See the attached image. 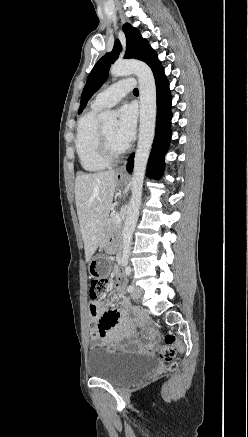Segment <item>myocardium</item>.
Here are the masks:
<instances>
[{
	"instance_id": "obj_1",
	"label": "myocardium",
	"mask_w": 248,
	"mask_h": 437,
	"mask_svg": "<svg viewBox=\"0 0 248 437\" xmlns=\"http://www.w3.org/2000/svg\"><path fill=\"white\" fill-rule=\"evenodd\" d=\"M129 147L125 145L119 150H114L104 132L103 126L99 128V151L101 156L108 162H113L120 158L128 151Z\"/></svg>"
}]
</instances>
